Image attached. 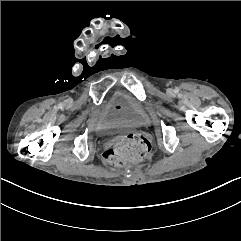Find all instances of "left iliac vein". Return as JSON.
Returning <instances> with one entry per match:
<instances>
[{"label":"left iliac vein","mask_w":241,"mask_h":241,"mask_svg":"<svg viewBox=\"0 0 241 241\" xmlns=\"http://www.w3.org/2000/svg\"><path fill=\"white\" fill-rule=\"evenodd\" d=\"M167 92L170 93V94H173V93H174V90H173L172 88H169V89L167 90Z\"/></svg>","instance_id":"obj_1"}]
</instances>
